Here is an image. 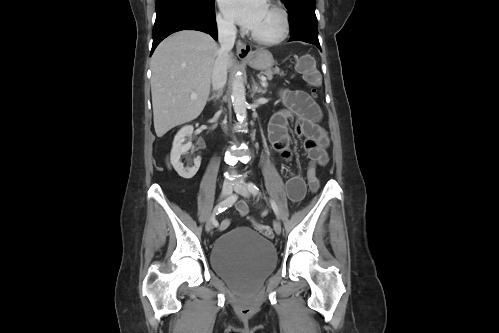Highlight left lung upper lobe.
I'll use <instances>...</instances> for the list:
<instances>
[{
  "label": "left lung upper lobe",
  "instance_id": "5c2ea615",
  "mask_svg": "<svg viewBox=\"0 0 499 333\" xmlns=\"http://www.w3.org/2000/svg\"><path fill=\"white\" fill-rule=\"evenodd\" d=\"M289 12L297 9H313L315 10L316 0H282Z\"/></svg>",
  "mask_w": 499,
  "mask_h": 333
}]
</instances>
